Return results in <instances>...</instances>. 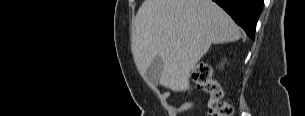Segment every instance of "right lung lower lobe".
Returning a JSON list of instances; mask_svg holds the SVG:
<instances>
[{
	"label": "right lung lower lobe",
	"mask_w": 305,
	"mask_h": 116,
	"mask_svg": "<svg viewBox=\"0 0 305 116\" xmlns=\"http://www.w3.org/2000/svg\"><path fill=\"white\" fill-rule=\"evenodd\" d=\"M254 40L258 18L263 8V0H213Z\"/></svg>",
	"instance_id": "98d812e1"
}]
</instances>
